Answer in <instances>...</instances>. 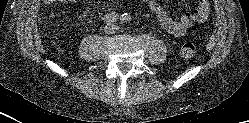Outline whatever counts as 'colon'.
<instances>
[{"label": "colon", "instance_id": "obj_1", "mask_svg": "<svg viewBox=\"0 0 249 123\" xmlns=\"http://www.w3.org/2000/svg\"><path fill=\"white\" fill-rule=\"evenodd\" d=\"M196 52V45L193 41H185L180 48V54L183 58H192Z\"/></svg>", "mask_w": 249, "mask_h": 123}]
</instances>
